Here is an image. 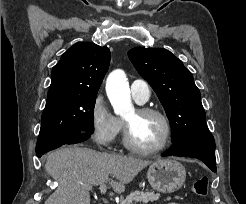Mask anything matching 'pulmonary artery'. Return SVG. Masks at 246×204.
<instances>
[{
	"instance_id": "e3ab8cb5",
	"label": "pulmonary artery",
	"mask_w": 246,
	"mask_h": 204,
	"mask_svg": "<svg viewBox=\"0 0 246 204\" xmlns=\"http://www.w3.org/2000/svg\"><path fill=\"white\" fill-rule=\"evenodd\" d=\"M130 89L133 99L139 104L145 103L150 97V87L144 80L133 81Z\"/></svg>"
}]
</instances>
